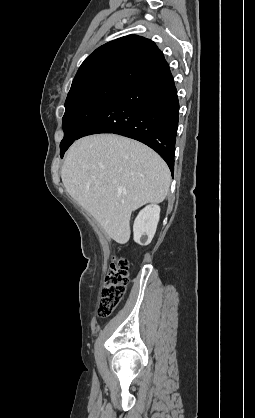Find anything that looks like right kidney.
<instances>
[{
    "instance_id": "ca27d5eb",
    "label": "right kidney",
    "mask_w": 255,
    "mask_h": 418,
    "mask_svg": "<svg viewBox=\"0 0 255 418\" xmlns=\"http://www.w3.org/2000/svg\"><path fill=\"white\" fill-rule=\"evenodd\" d=\"M160 218V207L148 205L142 209L134 221V241L140 245H148L156 232Z\"/></svg>"
}]
</instances>
